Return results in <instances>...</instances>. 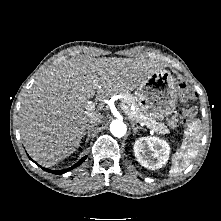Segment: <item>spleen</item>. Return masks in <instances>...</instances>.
Returning a JSON list of instances; mask_svg holds the SVG:
<instances>
[{
    "label": "spleen",
    "mask_w": 221,
    "mask_h": 221,
    "mask_svg": "<svg viewBox=\"0 0 221 221\" xmlns=\"http://www.w3.org/2000/svg\"><path fill=\"white\" fill-rule=\"evenodd\" d=\"M198 120L194 121L190 127L188 134L183 141L181 148L173 155L172 167L169 171V176H175L184 171L198 155L199 141L201 135Z\"/></svg>",
    "instance_id": "1"
}]
</instances>
